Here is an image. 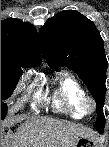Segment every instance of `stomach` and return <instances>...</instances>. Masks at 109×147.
Here are the masks:
<instances>
[{
	"mask_svg": "<svg viewBox=\"0 0 109 147\" xmlns=\"http://www.w3.org/2000/svg\"><path fill=\"white\" fill-rule=\"evenodd\" d=\"M77 146L79 147H101L99 146L96 140H93L91 138H86V137L78 138L75 147Z\"/></svg>",
	"mask_w": 109,
	"mask_h": 147,
	"instance_id": "1",
	"label": "stomach"
}]
</instances>
